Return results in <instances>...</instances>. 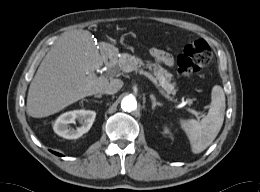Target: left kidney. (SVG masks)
Returning <instances> with one entry per match:
<instances>
[{"label":"left kidney","mask_w":260,"mask_h":192,"mask_svg":"<svg viewBox=\"0 0 260 192\" xmlns=\"http://www.w3.org/2000/svg\"><path fill=\"white\" fill-rule=\"evenodd\" d=\"M164 133L169 134V129L167 127L164 128Z\"/></svg>","instance_id":"5707ae66"}]
</instances>
